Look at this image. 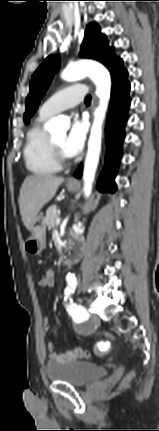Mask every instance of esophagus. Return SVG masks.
<instances>
[{"mask_svg": "<svg viewBox=\"0 0 159 431\" xmlns=\"http://www.w3.org/2000/svg\"><path fill=\"white\" fill-rule=\"evenodd\" d=\"M68 183H70V184H76V183H77V181H76L75 179H73V178H70V179L68 180Z\"/></svg>", "mask_w": 159, "mask_h": 431, "instance_id": "esophagus-1", "label": "esophagus"}]
</instances>
